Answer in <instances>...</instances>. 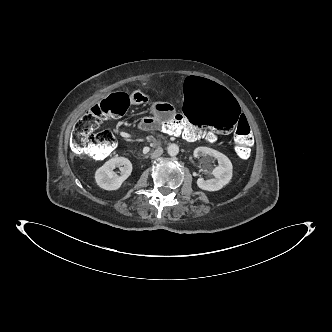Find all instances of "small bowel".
<instances>
[{"label": "small bowel", "mask_w": 332, "mask_h": 332, "mask_svg": "<svg viewBox=\"0 0 332 332\" xmlns=\"http://www.w3.org/2000/svg\"><path fill=\"white\" fill-rule=\"evenodd\" d=\"M132 99L135 101V104H145L148 103V97L146 95V92L143 89H135L132 92ZM158 117L159 120L161 121H171L175 117V111L174 107L171 103L169 102H164V101H159V102H154L151 104L150 107V115L145 116L140 119V121L137 124V128L143 131H153L156 129V127L152 126L150 120ZM189 131L193 135V141L197 140L200 137V132L194 128H190ZM209 134L214 137L213 132H209Z\"/></svg>", "instance_id": "obj_1"}]
</instances>
